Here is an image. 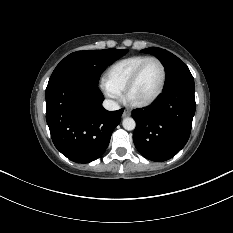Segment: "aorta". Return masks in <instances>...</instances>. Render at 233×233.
<instances>
[{"mask_svg":"<svg viewBox=\"0 0 233 233\" xmlns=\"http://www.w3.org/2000/svg\"><path fill=\"white\" fill-rule=\"evenodd\" d=\"M122 125L125 130L131 131L135 129L136 123L133 118L126 117L123 119Z\"/></svg>","mask_w":233,"mask_h":233,"instance_id":"762f6f07","label":"aorta"}]
</instances>
